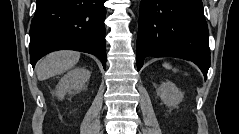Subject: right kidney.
I'll list each match as a JSON object with an SVG mask.
<instances>
[{
	"mask_svg": "<svg viewBox=\"0 0 239 134\" xmlns=\"http://www.w3.org/2000/svg\"><path fill=\"white\" fill-rule=\"evenodd\" d=\"M90 76L91 72L85 68L71 69L60 79L56 86V95L62 99L66 93L80 92Z\"/></svg>",
	"mask_w": 239,
	"mask_h": 134,
	"instance_id": "ca27d5eb",
	"label": "right kidney"
}]
</instances>
